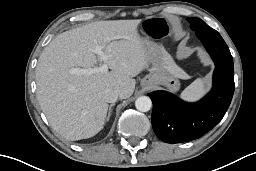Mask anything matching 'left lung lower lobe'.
<instances>
[{
    "label": "left lung lower lobe",
    "instance_id": "obj_1",
    "mask_svg": "<svg viewBox=\"0 0 256 171\" xmlns=\"http://www.w3.org/2000/svg\"><path fill=\"white\" fill-rule=\"evenodd\" d=\"M215 63L212 90L196 103H187L167 91L148 95L153 102L152 127L166 143L197 139L215 127L225 115L234 93L233 59L219 33L196 30Z\"/></svg>",
    "mask_w": 256,
    "mask_h": 171
}]
</instances>
